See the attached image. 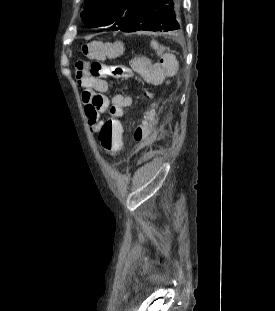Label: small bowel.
Segmentation results:
<instances>
[{"label": "small bowel", "mask_w": 275, "mask_h": 311, "mask_svg": "<svg viewBox=\"0 0 275 311\" xmlns=\"http://www.w3.org/2000/svg\"><path fill=\"white\" fill-rule=\"evenodd\" d=\"M151 45L156 48L152 55L155 64L150 60L134 58L128 61V66L132 67L135 72H139L140 80H149V87H165L166 93L164 105L160 97L151 101L144 109V114L140 115V122H136L133 128L134 132L130 133L133 143H153L155 133L157 132L158 119L161 112H170L173 107L174 95L171 87H177L178 76H181L180 56H167L166 46H158L157 41L152 40ZM104 53L109 57H122V50L116 49V46H104ZM78 83L84 87L82 101L85 105V115L90 125L91 131L97 133L104 123L100 117L105 111H109L111 118H124L125 109L132 104V98L129 95L115 93L111 96L105 94L108 89L106 81L81 73L77 76ZM170 80V81H169ZM169 81V86L166 87ZM120 133L122 130H118Z\"/></svg>", "instance_id": "1"}]
</instances>
